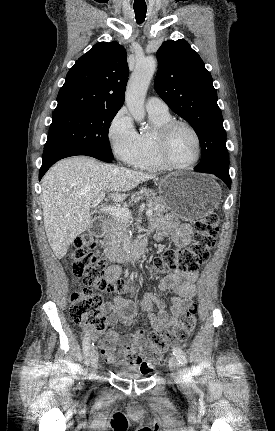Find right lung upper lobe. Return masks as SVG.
Returning a JSON list of instances; mask_svg holds the SVG:
<instances>
[{
	"instance_id": "1",
	"label": "right lung upper lobe",
	"mask_w": 275,
	"mask_h": 431,
	"mask_svg": "<svg viewBox=\"0 0 275 431\" xmlns=\"http://www.w3.org/2000/svg\"><path fill=\"white\" fill-rule=\"evenodd\" d=\"M126 51L119 43L100 42L67 73L53 113L81 109L119 110L129 75Z\"/></svg>"
}]
</instances>
